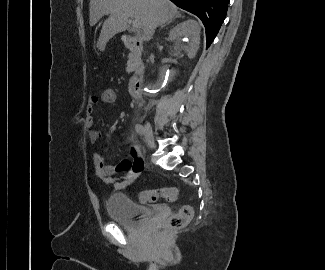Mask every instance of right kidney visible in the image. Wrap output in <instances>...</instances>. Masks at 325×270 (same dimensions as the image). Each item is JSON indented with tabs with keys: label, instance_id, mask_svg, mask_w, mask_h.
<instances>
[{
	"label": "right kidney",
	"instance_id": "1",
	"mask_svg": "<svg viewBox=\"0 0 325 270\" xmlns=\"http://www.w3.org/2000/svg\"><path fill=\"white\" fill-rule=\"evenodd\" d=\"M172 45L169 47L170 61L175 66L164 65L162 74H168L169 79L175 77L179 68L184 66L187 59L195 57L200 44V27L194 20L178 24L169 32Z\"/></svg>",
	"mask_w": 325,
	"mask_h": 270
}]
</instances>
